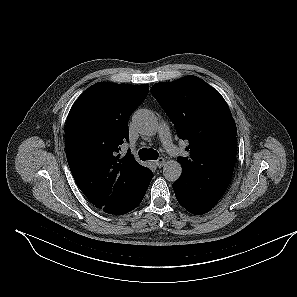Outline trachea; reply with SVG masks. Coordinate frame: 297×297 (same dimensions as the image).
I'll return each instance as SVG.
<instances>
[{
    "mask_svg": "<svg viewBox=\"0 0 297 297\" xmlns=\"http://www.w3.org/2000/svg\"><path fill=\"white\" fill-rule=\"evenodd\" d=\"M138 154L141 160H156L159 156L158 152L152 148H143Z\"/></svg>",
    "mask_w": 297,
    "mask_h": 297,
    "instance_id": "1",
    "label": "trachea"
}]
</instances>
